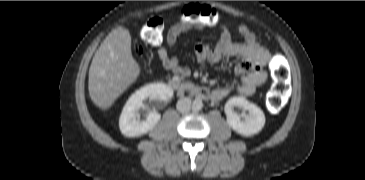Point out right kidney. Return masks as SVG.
<instances>
[{"instance_id": "obj_1", "label": "right kidney", "mask_w": 365, "mask_h": 180, "mask_svg": "<svg viewBox=\"0 0 365 180\" xmlns=\"http://www.w3.org/2000/svg\"><path fill=\"white\" fill-rule=\"evenodd\" d=\"M172 96V88L162 82L148 84L137 90L131 95L122 110L119 119L121 133L126 137H137L152 130L161 119V115L152 111L145 121H140L138 111L144 106L143 101L147 98L167 101Z\"/></svg>"}]
</instances>
